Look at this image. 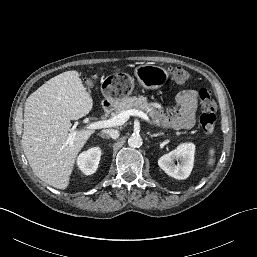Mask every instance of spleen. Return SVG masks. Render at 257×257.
<instances>
[{
    "instance_id": "spleen-1",
    "label": "spleen",
    "mask_w": 257,
    "mask_h": 257,
    "mask_svg": "<svg viewBox=\"0 0 257 257\" xmlns=\"http://www.w3.org/2000/svg\"><path fill=\"white\" fill-rule=\"evenodd\" d=\"M216 149L214 147L209 148L208 150V159H207V166L213 167L216 161L215 158Z\"/></svg>"
}]
</instances>
